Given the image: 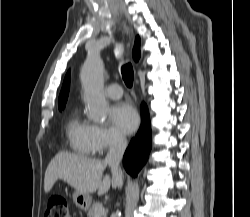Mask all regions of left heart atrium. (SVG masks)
<instances>
[{
    "label": "left heart atrium",
    "instance_id": "left-heart-atrium-1",
    "mask_svg": "<svg viewBox=\"0 0 250 217\" xmlns=\"http://www.w3.org/2000/svg\"><path fill=\"white\" fill-rule=\"evenodd\" d=\"M112 124L123 133H132L138 126V116L128 103H118L110 110Z\"/></svg>",
    "mask_w": 250,
    "mask_h": 217
}]
</instances>
